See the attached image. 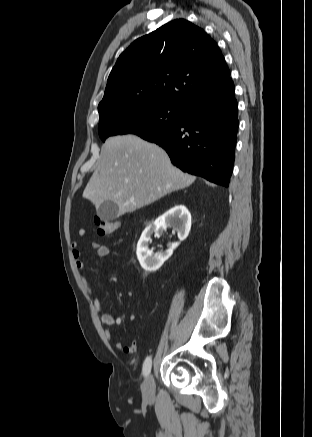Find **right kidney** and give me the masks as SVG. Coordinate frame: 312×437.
I'll return each mask as SVG.
<instances>
[{"label":"right kidney","mask_w":312,"mask_h":437,"mask_svg":"<svg viewBox=\"0 0 312 437\" xmlns=\"http://www.w3.org/2000/svg\"><path fill=\"white\" fill-rule=\"evenodd\" d=\"M168 226H172L177 231L180 241L185 240L191 229V214L188 209L183 205L175 206L145 228L136 250L137 258L144 270L149 272L158 270L179 245L178 242L172 243L170 248L160 255H153V252L149 250L148 243L151 241V235L153 233L159 235Z\"/></svg>","instance_id":"1"}]
</instances>
